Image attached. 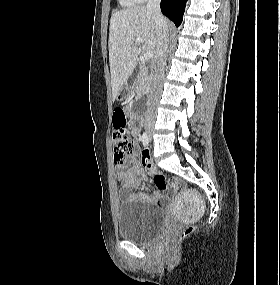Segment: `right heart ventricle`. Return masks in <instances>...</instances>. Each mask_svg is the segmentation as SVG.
Segmentation results:
<instances>
[{"label": "right heart ventricle", "instance_id": "right-heart-ventricle-1", "mask_svg": "<svg viewBox=\"0 0 280 285\" xmlns=\"http://www.w3.org/2000/svg\"><path fill=\"white\" fill-rule=\"evenodd\" d=\"M120 4L124 7H133L141 2V0H119Z\"/></svg>", "mask_w": 280, "mask_h": 285}]
</instances>
